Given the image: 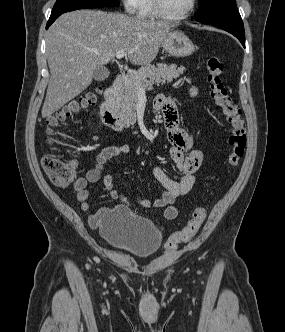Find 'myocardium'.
<instances>
[{
    "mask_svg": "<svg viewBox=\"0 0 285 332\" xmlns=\"http://www.w3.org/2000/svg\"><path fill=\"white\" fill-rule=\"evenodd\" d=\"M152 1H153V9L156 16L162 20L169 22H178L188 18L192 14L197 5V0H191L190 6L183 14L179 16H172L165 11L163 0H152Z\"/></svg>",
    "mask_w": 285,
    "mask_h": 332,
    "instance_id": "myocardium-1",
    "label": "myocardium"
}]
</instances>
